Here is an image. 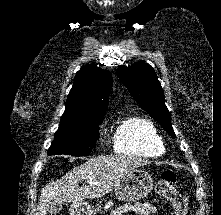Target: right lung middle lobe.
Segmentation results:
<instances>
[{
    "instance_id": "1",
    "label": "right lung middle lobe",
    "mask_w": 221,
    "mask_h": 215,
    "mask_svg": "<svg viewBox=\"0 0 221 215\" xmlns=\"http://www.w3.org/2000/svg\"><path fill=\"white\" fill-rule=\"evenodd\" d=\"M103 117L63 114L55 138L48 150L49 155L68 154L84 156L95 147Z\"/></svg>"
}]
</instances>
